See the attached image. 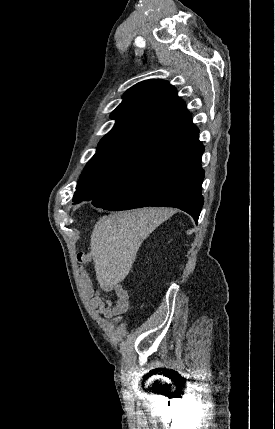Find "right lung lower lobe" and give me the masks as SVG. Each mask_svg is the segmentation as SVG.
Masks as SVG:
<instances>
[{"mask_svg":"<svg viewBox=\"0 0 275 429\" xmlns=\"http://www.w3.org/2000/svg\"><path fill=\"white\" fill-rule=\"evenodd\" d=\"M203 152L198 133L185 138L147 159L135 173L92 200V204L111 211L146 206L177 207L197 222L204 203Z\"/></svg>","mask_w":275,"mask_h":429,"instance_id":"right-lung-lower-lobe-1","label":"right lung lower lobe"}]
</instances>
